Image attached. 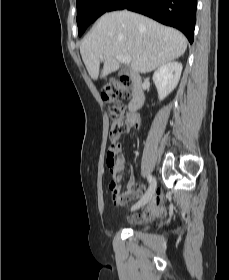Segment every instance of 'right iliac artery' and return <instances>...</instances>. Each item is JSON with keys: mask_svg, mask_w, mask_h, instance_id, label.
Listing matches in <instances>:
<instances>
[{"mask_svg": "<svg viewBox=\"0 0 229 280\" xmlns=\"http://www.w3.org/2000/svg\"><path fill=\"white\" fill-rule=\"evenodd\" d=\"M147 180H148L149 183H151V182H152V176H151V175H148V176H147Z\"/></svg>", "mask_w": 229, "mask_h": 280, "instance_id": "obj_1", "label": "right iliac artery"}]
</instances>
